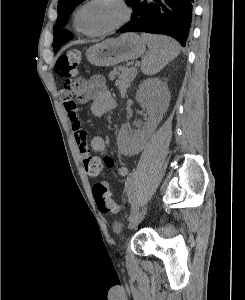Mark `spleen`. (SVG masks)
<instances>
[{
	"label": "spleen",
	"mask_w": 245,
	"mask_h": 300,
	"mask_svg": "<svg viewBox=\"0 0 245 300\" xmlns=\"http://www.w3.org/2000/svg\"><path fill=\"white\" fill-rule=\"evenodd\" d=\"M141 36L150 49L141 63V70L145 75H154L160 72L180 53L178 43L169 37L145 33Z\"/></svg>",
	"instance_id": "spleen-1"
}]
</instances>
